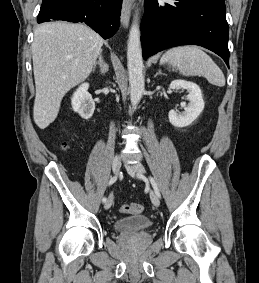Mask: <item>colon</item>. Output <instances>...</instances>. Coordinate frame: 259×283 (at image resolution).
<instances>
[{"label": "colon", "mask_w": 259, "mask_h": 283, "mask_svg": "<svg viewBox=\"0 0 259 283\" xmlns=\"http://www.w3.org/2000/svg\"><path fill=\"white\" fill-rule=\"evenodd\" d=\"M64 147H67V144H63ZM144 210V207L139 203H131V204H124L120 207V211L122 213H133V214H140Z\"/></svg>", "instance_id": "obj_1"}]
</instances>
